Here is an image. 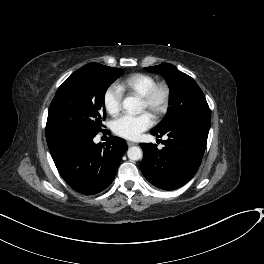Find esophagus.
<instances>
[{
	"label": "esophagus",
	"instance_id": "1",
	"mask_svg": "<svg viewBox=\"0 0 264 264\" xmlns=\"http://www.w3.org/2000/svg\"><path fill=\"white\" fill-rule=\"evenodd\" d=\"M127 144L130 147V146H134L136 143L135 142H132V141H127Z\"/></svg>",
	"mask_w": 264,
	"mask_h": 264
}]
</instances>
